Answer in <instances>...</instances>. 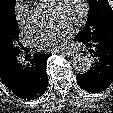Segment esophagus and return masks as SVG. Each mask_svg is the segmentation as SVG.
<instances>
[{
    "instance_id": "1",
    "label": "esophagus",
    "mask_w": 113,
    "mask_h": 113,
    "mask_svg": "<svg viewBox=\"0 0 113 113\" xmlns=\"http://www.w3.org/2000/svg\"><path fill=\"white\" fill-rule=\"evenodd\" d=\"M60 53H64L67 56H74L76 54V51L74 49H68V50L60 51Z\"/></svg>"
}]
</instances>
